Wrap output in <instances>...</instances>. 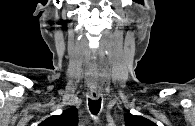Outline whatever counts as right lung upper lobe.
Instances as JSON below:
<instances>
[{"label": "right lung upper lobe", "instance_id": "right-lung-upper-lobe-1", "mask_svg": "<svg viewBox=\"0 0 195 126\" xmlns=\"http://www.w3.org/2000/svg\"><path fill=\"white\" fill-rule=\"evenodd\" d=\"M78 112L75 107L69 108L61 115H53L38 126H77Z\"/></svg>", "mask_w": 195, "mask_h": 126}]
</instances>
